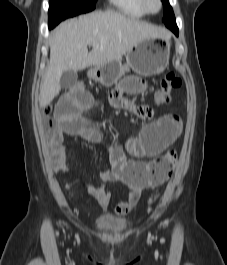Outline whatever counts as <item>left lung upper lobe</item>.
<instances>
[{
  "label": "left lung upper lobe",
  "instance_id": "obj_1",
  "mask_svg": "<svg viewBox=\"0 0 227 265\" xmlns=\"http://www.w3.org/2000/svg\"><path fill=\"white\" fill-rule=\"evenodd\" d=\"M164 4L163 21L168 28L177 27L175 16L168 0H161Z\"/></svg>",
  "mask_w": 227,
  "mask_h": 265
}]
</instances>
